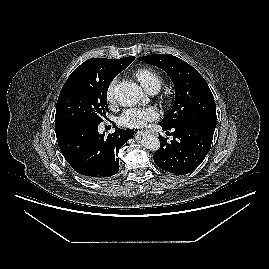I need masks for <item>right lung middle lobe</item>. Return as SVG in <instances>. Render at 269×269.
I'll list each match as a JSON object with an SVG mask.
<instances>
[{
  "instance_id": "1",
  "label": "right lung middle lobe",
  "mask_w": 269,
  "mask_h": 269,
  "mask_svg": "<svg viewBox=\"0 0 269 269\" xmlns=\"http://www.w3.org/2000/svg\"><path fill=\"white\" fill-rule=\"evenodd\" d=\"M112 80L73 71L59 94L55 124L74 121L99 124L107 119V91Z\"/></svg>"
}]
</instances>
